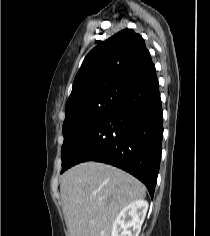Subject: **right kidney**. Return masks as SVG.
Here are the masks:
<instances>
[{
  "mask_svg": "<svg viewBox=\"0 0 210 236\" xmlns=\"http://www.w3.org/2000/svg\"><path fill=\"white\" fill-rule=\"evenodd\" d=\"M148 210L145 200H136L124 207L116 217L111 236H138Z\"/></svg>",
  "mask_w": 210,
  "mask_h": 236,
  "instance_id": "1",
  "label": "right kidney"
}]
</instances>
